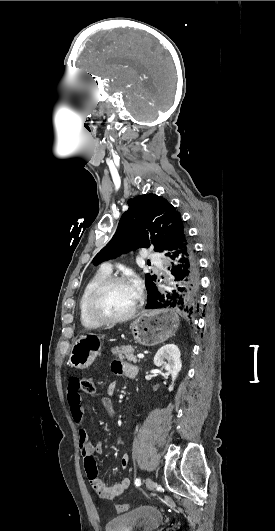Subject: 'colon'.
Instances as JSON below:
<instances>
[{
	"instance_id": "1",
	"label": "colon",
	"mask_w": 275,
	"mask_h": 531,
	"mask_svg": "<svg viewBox=\"0 0 275 531\" xmlns=\"http://www.w3.org/2000/svg\"><path fill=\"white\" fill-rule=\"evenodd\" d=\"M80 389L89 397L96 398L98 383L97 381H94L92 377H85V381H82L80 384ZM116 510L117 513L121 515L128 510V506L126 504H118Z\"/></svg>"
}]
</instances>
